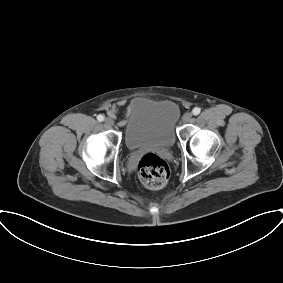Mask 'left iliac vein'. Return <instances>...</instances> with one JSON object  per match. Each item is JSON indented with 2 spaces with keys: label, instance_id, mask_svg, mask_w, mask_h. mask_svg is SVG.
Returning <instances> with one entry per match:
<instances>
[{
  "label": "left iliac vein",
  "instance_id": "4c4485c4",
  "mask_svg": "<svg viewBox=\"0 0 283 283\" xmlns=\"http://www.w3.org/2000/svg\"><path fill=\"white\" fill-rule=\"evenodd\" d=\"M192 119V113L191 112H186L183 116V121L184 122H190Z\"/></svg>",
  "mask_w": 283,
  "mask_h": 283
}]
</instances>
